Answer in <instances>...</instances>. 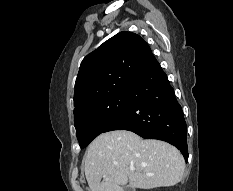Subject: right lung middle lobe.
Here are the masks:
<instances>
[{"mask_svg": "<svg viewBox=\"0 0 233 191\" xmlns=\"http://www.w3.org/2000/svg\"><path fill=\"white\" fill-rule=\"evenodd\" d=\"M129 102L128 93L107 98L74 114L79 145L85 148L104 128L119 116Z\"/></svg>", "mask_w": 233, "mask_h": 191, "instance_id": "1", "label": "right lung middle lobe"}]
</instances>
